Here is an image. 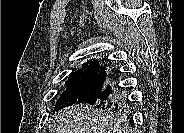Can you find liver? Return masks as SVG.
I'll use <instances>...</instances> for the list:
<instances>
[{
    "instance_id": "obj_1",
    "label": "liver",
    "mask_w": 184,
    "mask_h": 133,
    "mask_svg": "<svg viewBox=\"0 0 184 133\" xmlns=\"http://www.w3.org/2000/svg\"><path fill=\"white\" fill-rule=\"evenodd\" d=\"M53 133H121L110 116L89 104H78L62 109L51 119Z\"/></svg>"
}]
</instances>
